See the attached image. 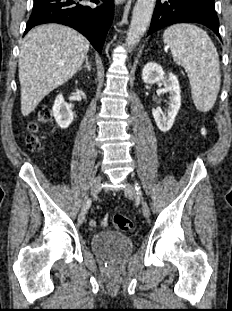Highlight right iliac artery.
Listing matches in <instances>:
<instances>
[{"mask_svg":"<svg viewBox=\"0 0 232 311\" xmlns=\"http://www.w3.org/2000/svg\"><path fill=\"white\" fill-rule=\"evenodd\" d=\"M90 205H91V199H88L83 210L87 211V209L90 207Z\"/></svg>","mask_w":232,"mask_h":311,"instance_id":"right-iliac-artery-1","label":"right iliac artery"}]
</instances>
